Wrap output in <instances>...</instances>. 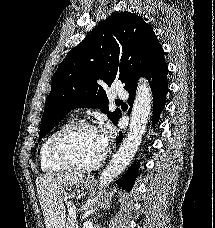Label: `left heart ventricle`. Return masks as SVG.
<instances>
[{
	"label": "left heart ventricle",
	"mask_w": 215,
	"mask_h": 228,
	"mask_svg": "<svg viewBox=\"0 0 215 228\" xmlns=\"http://www.w3.org/2000/svg\"><path fill=\"white\" fill-rule=\"evenodd\" d=\"M105 150L101 147L97 130L83 129L68 137L61 148L62 156L75 165L97 161Z\"/></svg>",
	"instance_id": "b2bd125f"
}]
</instances>
